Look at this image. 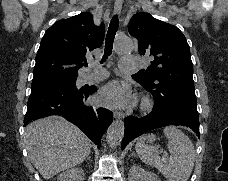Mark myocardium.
Here are the masks:
<instances>
[{
  "label": "myocardium",
  "instance_id": "f54148a6",
  "mask_svg": "<svg viewBox=\"0 0 228 181\" xmlns=\"http://www.w3.org/2000/svg\"><path fill=\"white\" fill-rule=\"evenodd\" d=\"M152 105H153V103H152L151 99H149V98H144L141 102V106L145 110L151 109Z\"/></svg>",
  "mask_w": 228,
  "mask_h": 181
}]
</instances>
